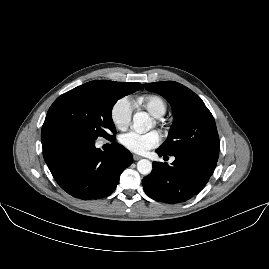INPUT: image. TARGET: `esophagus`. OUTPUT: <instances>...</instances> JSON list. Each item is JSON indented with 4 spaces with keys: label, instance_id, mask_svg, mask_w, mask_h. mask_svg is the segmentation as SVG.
Segmentation results:
<instances>
[{
    "label": "esophagus",
    "instance_id": "1",
    "mask_svg": "<svg viewBox=\"0 0 269 269\" xmlns=\"http://www.w3.org/2000/svg\"><path fill=\"white\" fill-rule=\"evenodd\" d=\"M133 157H134L135 161H138V160L142 159V157L137 155V154H134Z\"/></svg>",
    "mask_w": 269,
    "mask_h": 269
}]
</instances>
